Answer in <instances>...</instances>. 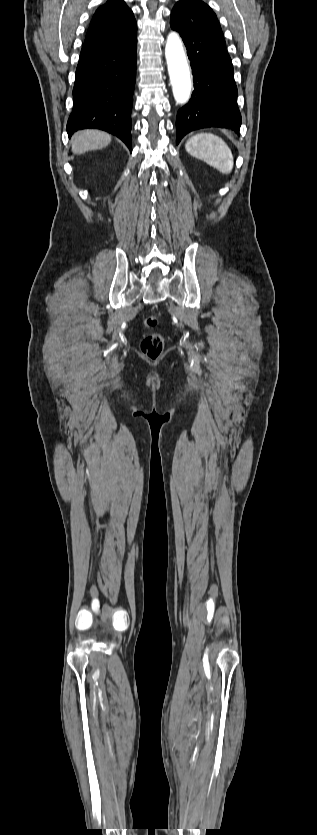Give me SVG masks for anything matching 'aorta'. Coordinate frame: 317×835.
<instances>
[{
	"instance_id": "obj_1",
	"label": "aorta",
	"mask_w": 317,
	"mask_h": 835,
	"mask_svg": "<svg viewBox=\"0 0 317 835\" xmlns=\"http://www.w3.org/2000/svg\"><path fill=\"white\" fill-rule=\"evenodd\" d=\"M165 57L175 101L186 104L191 95L190 69L183 43L176 32H171L166 41Z\"/></svg>"
}]
</instances>
